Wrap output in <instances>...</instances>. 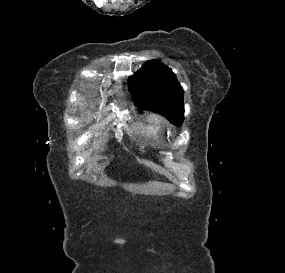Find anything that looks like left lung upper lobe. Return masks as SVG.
<instances>
[{"label":"left lung upper lobe","instance_id":"left-lung-upper-lobe-1","mask_svg":"<svg viewBox=\"0 0 285 273\" xmlns=\"http://www.w3.org/2000/svg\"><path fill=\"white\" fill-rule=\"evenodd\" d=\"M137 104L154 109L174 125L184 120L183 89L176 75L159 61H149L128 79Z\"/></svg>","mask_w":285,"mask_h":273}]
</instances>
